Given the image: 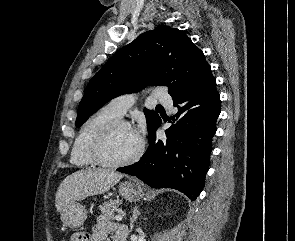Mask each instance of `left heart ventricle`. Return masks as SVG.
Here are the masks:
<instances>
[{
    "label": "left heart ventricle",
    "mask_w": 295,
    "mask_h": 241,
    "mask_svg": "<svg viewBox=\"0 0 295 241\" xmlns=\"http://www.w3.org/2000/svg\"><path fill=\"white\" fill-rule=\"evenodd\" d=\"M139 147V138L127 127H119L112 134L106 155L110 160L122 161L133 156Z\"/></svg>",
    "instance_id": "b2bd125f"
}]
</instances>
